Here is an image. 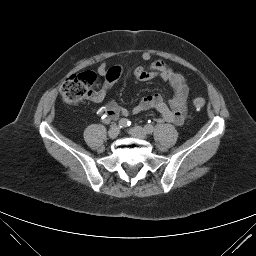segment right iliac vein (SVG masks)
<instances>
[{
  "label": "right iliac vein",
  "instance_id": "1",
  "mask_svg": "<svg viewBox=\"0 0 256 256\" xmlns=\"http://www.w3.org/2000/svg\"><path fill=\"white\" fill-rule=\"evenodd\" d=\"M120 133V128L118 126H112L108 131V136L110 139H115Z\"/></svg>",
  "mask_w": 256,
  "mask_h": 256
}]
</instances>
